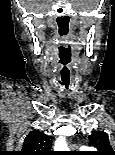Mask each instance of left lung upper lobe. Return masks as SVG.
I'll return each mask as SVG.
<instances>
[{
    "label": "left lung upper lobe",
    "mask_w": 115,
    "mask_h": 155,
    "mask_svg": "<svg viewBox=\"0 0 115 155\" xmlns=\"http://www.w3.org/2000/svg\"><path fill=\"white\" fill-rule=\"evenodd\" d=\"M89 141L92 146L96 147L98 151L96 155H115L109 139L108 134L104 131H95L89 136Z\"/></svg>",
    "instance_id": "obj_1"
}]
</instances>
